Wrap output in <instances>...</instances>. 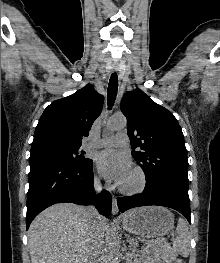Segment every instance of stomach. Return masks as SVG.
Masks as SVG:
<instances>
[{
  "label": "stomach",
  "instance_id": "obj_1",
  "mask_svg": "<svg viewBox=\"0 0 220 263\" xmlns=\"http://www.w3.org/2000/svg\"><path fill=\"white\" fill-rule=\"evenodd\" d=\"M121 221L124 230L144 239L164 236L174 228L173 214L160 206H146L130 210L122 216Z\"/></svg>",
  "mask_w": 220,
  "mask_h": 263
}]
</instances>
